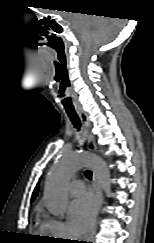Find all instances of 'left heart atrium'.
I'll list each match as a JSON object with an SVG mask.
<instances>
[{
  "mask_svg": "<svg viewBox=\"0 0 154 243\" xmlns=\"http://www.w3.org/2000/svg\"><path fill=\"white\" fill-rule=\"evenodd\" d=\"M95 202L90 195H84L74 200L68 211L71 230L77 235L87 233L94 222Z\"/></svg>",
  "mask_w": 154,
  "mask_h": 243,
  "instance_id": "1",
  "label": "left heart atrium"
}]
</instances>
